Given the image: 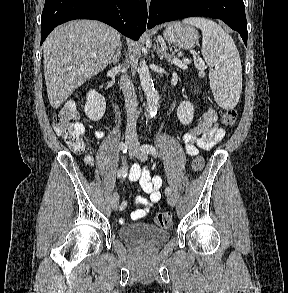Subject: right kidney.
Wrapping results in <instances>:
<instances>
[{
  "instance_id": "ca27d5eb",
  "label": "right kidney",
  "mask_w": 288,
  "mask_h": 293,
  "mask_svg": "<svg viewBox=\"0 0 288 293\" xmlns=\"http://www.w3.org/2000/svg\"><path fill=\"white\" fill-rule=\"evenodd\" d=\"M106 110L105 98L94 89L90 90L86 97L85 114L93 121L100 120Z\"/></svg>"
}]
</instances>
